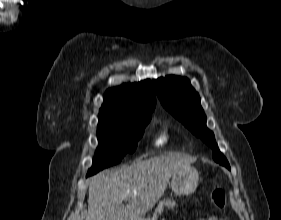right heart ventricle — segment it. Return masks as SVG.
<instances>
[{"mask_svg":"<svg viewBox=\"0 0 281 220\" xmlns=\"http://www.w3.org/2000/svg\"><path fill=\"white\" fill-rule=\"evenodd\" d=\"M169 141V135L167 131H162L155 140L156 146H164Z\"/></svg>","mask_w":281,"mask_h":220,"instance_id":"obj_1","label":"right heart ventricle"}]
</instances>
